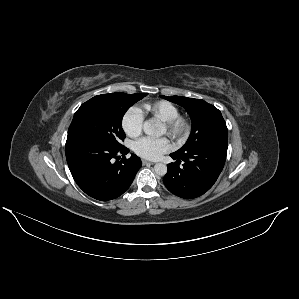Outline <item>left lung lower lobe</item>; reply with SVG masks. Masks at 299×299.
I'll return each mask as SVG.
<instances>
[{
  "instance_id": "1",
  "label": "left lung lower lobe",
  "mask_w": 299,
  "mask_h": 299,
  "mask_svg": "<svg viewBox=\"0 0 299 299\" xmlns=\"http://www.w3.org/2000/svg\"><path fill=\"white\" fill-rule=\"evenodd\" d=\"M228 139L203 143L183 154L172 153L175 163L167 165L163 178L166 188L176 196L192 199L207 192L221 173L227 154ZM181 161L183 166H180Z\"/></svg>"
}]
</instances>
